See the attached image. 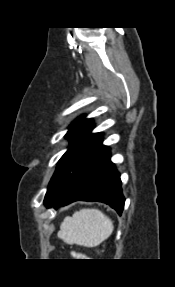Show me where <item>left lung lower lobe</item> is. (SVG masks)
Wrapping results in <instances>:
<instances>
[{
  "instance_id": "obj_1",
  "label": "left lung lower lobe",
  "mask_w": 175,
  "mask_h": 287,
  "mask_svg": "<svg viewBox=\"0 0 175 287\" xmlns=\"http://www.w3.org/2000/svg\"><path fill=\"white\" fill-rule=\"evenodd\" d=\"M78 200L106 203L121 215L125 199L120 174L110 160L109 148H106L58 198L46 206L58 208Z\"/></svg>"
}]
</instances>
